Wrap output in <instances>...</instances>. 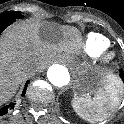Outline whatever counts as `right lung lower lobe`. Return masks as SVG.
Returning a JSON list of instances; mask_svg holds the SVG:
<instances>
[{
	"label": "right lung lower lobe",
	"instance_id": "1",
	"mask_svg": "<svg viewBox=\"0 0 124 124\" xmlns=\"http://www.w3.org/2000/svg\"><path fill=\"white\" fill-rule=\"evenodd\" d=\"M16 19L13 18H0V34L10 25L12 24ZM29 84V80L25 84V88L23 90L22 96L25 95L27 86ZM15 103H11L9 105H6L4 108L0 110V115H4L11 111L14 108Z\"/></svg>",
	"mask_w": 124,
	"mask_h": 124
}]
</instances>
